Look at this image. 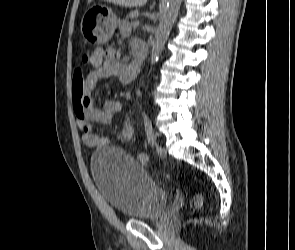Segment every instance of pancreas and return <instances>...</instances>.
<instances>
[{"instance_id": "obj_1", "label": "pancreas", "mask_w": 295, "mask_h": 250, "mask_svg": "<svg viewBox=\"0 0 295 250\" xmlns=\"http://www.w3.org/2000/svg\"><path fill=\"white\" fill-rule=\"evenodd\" d=\"M138 15H139V12L138 11H132V12H130L128 15H127V19H131V20H133V19H135V18H137L138 17ZM134 23V22H133Z\"/></svg>"}]
</instances>
